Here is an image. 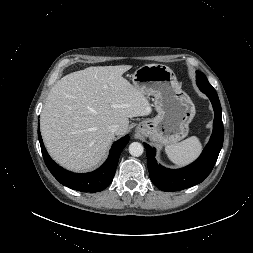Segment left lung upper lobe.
Segmentation results:
<instances>
[{
    "label": "left lung upper lobe",
    "instance_id": "left-lung-upper-lobe-1",
    "mask_svg": "<svg viewBox=\"0 0 253 253\" xmlns=\"http://www.w3.org/2000/svg\"><path fill=\"white\" fill-rule=\"evenodd\" d=\"M196 82L200 89L201 88L214 89L208 82L206 76L200 71L196 72Z\"/></svg>",
    "mask_w": 253,
    "mask_h": 253
}]
</instances>
